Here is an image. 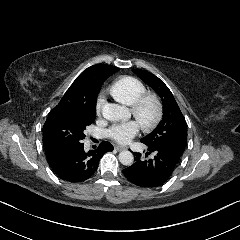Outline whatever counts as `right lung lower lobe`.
Instances as JSON below:
<instances>
[{
  "instance_id": "1",
  "label": "right lung lower lobe",
  "mask_w": 240,
  "mask_h": 240,
  "mask_svg": "<svg viewBox=\"0 0 240 240\" xmlns=\"http://www.w3.org/2000/svg\"><path fill=\"white\" fill-rule=\"evenodd\" d=\"M113 146L104 141L95 150L84 151V144L77 146H52L45 148L51 169L61 179L68 182H82L97 170L101 157Z\"/></svg>"
}]
</instances>
